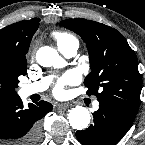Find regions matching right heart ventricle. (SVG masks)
<instances>
[{"label":"right heart ventricle","instance_id":"obj_1","mask_svg":"<svg viewBox=\"0 0 145 145\" xmlns=\"http://www.w3.org/2000/svg\"><path fill=\"white\" fill-rule=\"evenodd\" d=\"M53 37L57 41V44L68 42V41H77V39L73 35L66 32H60V31L54 32Z\"/></svg>","mask_w":145,"mask_h":145}]
</instances>
